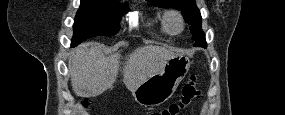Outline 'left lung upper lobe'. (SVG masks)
Returning a JSON list of instances; mask_svg holds the SVG:
<instances>
[{
    "label": "left lung upper lobe",
    "mask_w": 285,
    "mask_h": 115,
    "mask_svg": "<svg viewBox=\"0 0 285 115\" xmlns=\"http://www.w3.org/2000/svg\"><path fill=\"white\" fill-rule=\"evenodd\" d=\"M155 6L164 8H174L180 10L184 15V20L190 26L194 46H206L205 34L201 29V14L197 8L195 0H148Z\"/></svg>",
    "instance_id": "5c2ea615"
}]
</instances>
